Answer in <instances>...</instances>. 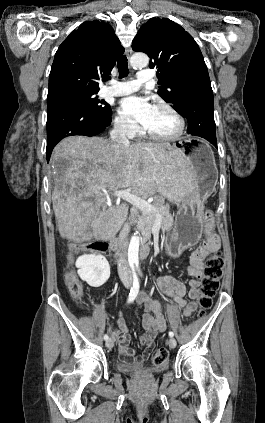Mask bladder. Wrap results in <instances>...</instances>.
I'll use <instances>...</instances> for the list:
<instances>
[{
  "instance_id": "bladder-1",
  "label": "bladder",
  "mask_w": 265,
  "mask_h": 423,
  "mask_svg": "<svg viewBox=\"0 0 265 423\" xmlns=\"http://www.w3.org/2000/svg\"><path fill=\"white\" fill-rule=\"evenodd\" d=\"M117 368L125 371V372H131V373H156L166 367L164 366H155V367H144V366H138L135 364L126 363L123 360H119L116 364Z\"/></svg>"
}]
</instances>
